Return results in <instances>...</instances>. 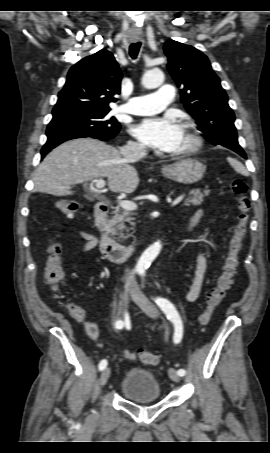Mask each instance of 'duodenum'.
Segmentation results:
<instances>
[{
	"mask_svg": "<svg viewBox=\"0 0 270 453\" xmlns=\"http://www.w3.org/2000/svg\"><path fill=\"white\" fill-rule=\"evenodd\" d=\"M109 212L107 203H97L94 210L95 221L101 231L100 250L112 262L123 263L134 253L136 245H122L116 242L106 230V217Z\"/></svg>",
	"mask_w": 270,
	"mask_h": 453,
	"instance_id": "1",
	"label": "duodenum"
}]
</instances>
